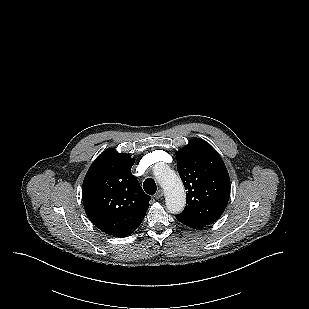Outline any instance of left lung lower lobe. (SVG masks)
<instances>
[{
	"label": "left lung lower lobe",
	"instance_id": "1",
	"mask_svg": "<svg viewBox=\"0 0 309 309\" xmlns=\"http://www.w3.org/2000/svg\"><path fill=\"white\" fill-rule=\"evenodd\" d=\"M176 218H177V217H176ZM177 219H178L181 223H183L184 225L189 226V227L194 228V229H200V228L204 227V226H202V225H200V224L192 223V222H190V221H188V220L179 219V218H177Z\"/></svg>",
	"mask_w": 309,
	"mask_h": 309
}]
</instances>
